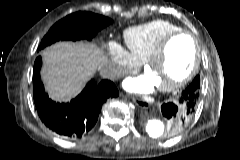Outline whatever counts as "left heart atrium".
<instances>
[{"mask_svg":"<svg viewBox=\"0 0 240 160\" xmlns=\"http://www.w3.org/2000/svg\"><path fill=\"white\" fill-rule=\"evenodd\" d=\"M123 85L128 91L137 93L150 92L155 87L153 81L146 74L136 78H128Z\"/></svg>","mask_w":240,"mask_h":160,"instance_id":"obj_1","label":"left heart atrium"}]
</instances>
